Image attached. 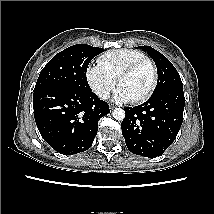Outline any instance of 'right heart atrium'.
<instances>
[{
    "instance_id": "right-heart-atrium-1",
    "label": "right heart atrium",
    "mask_w": 214,
    "mask_h": 214,
    "mask_svg": "<svg viewBox=\"0 0 214 214\" xmlns=\"http://www.w3.org/2000/svg\"><path fill=\"white\" fill-rule=\"evenodd\" d=\"M86 80L94 94L106 99L116 85L113 77L100 63L90 64L85 72Z\"/></svg>"
}]
</instances>
